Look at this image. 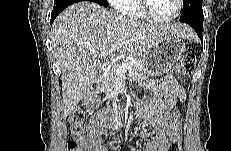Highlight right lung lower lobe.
I'll use <instances>...</instances> for the list:
<instances>
[{"instance_id": "98d812e1", "label": "right lung lower lobe", "mask_w": 231, "mask_h": 151, "mask_svg": "<svg viewBox=\"0 0 231 151\" xmlns=\"http://www.w3.org/2000/svg\"><path fill=\"white\" fill-rule=\"evenodd\" d=\"M92 1L102 5L98 0ZM76 2H79V0H54V7L51 15V24L62 10Z\"/></svg>"}]
</instances>
